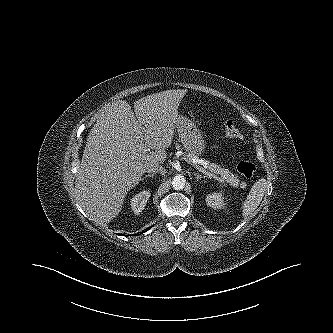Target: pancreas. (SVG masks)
Returning <instances> with one entry per match:
<instances>
[{"mask_svg": "<svg viewBox=\"0 0 333 333\" xmlns=\"http://www.w3.org/2000/svg\"><path fill=\"white\" fill-rule=\"evenodd\" d=\"M177 148H180V146H176ZM185 160H191V159H199L198 156H196L193 153H186L183 157ZM208 165V169L211 173L220 175V178H222L225 182L229 183L230 185L237 187L239 183V179L232 174L229 169H225L220 167L219 165H216L214 163H210L209 161H206Z\"/></svg>", "mask_w": 333, "mask_h": 333, "instance_id": "1", "label": "pancreas"}]
</instances>
